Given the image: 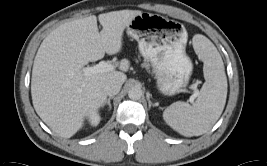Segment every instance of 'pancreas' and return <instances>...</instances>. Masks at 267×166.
<instances>
[{
	"instance_id": "pancreas-1",
	"label": "pancreas",
	"mask_w": 267,
	"mask_h": 166,
	"mask_svg": "<svg viewBox=\"0 0 267 166\" xmlns=\"http://www.w3.org/2000/svg\"><path fill=\"white\" fill-rule=\"evenodd\" d=\"M143 66H144V67H148V65H147V64H143Z\"/></svg>"
}]
</instances>
